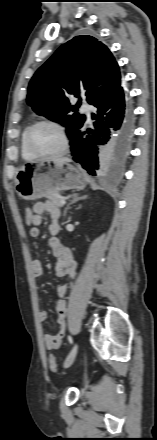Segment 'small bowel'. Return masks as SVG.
<instances>
[{"instance_id":"1","label":"small bowel","mask_w":157,"mask_h":440,"mask_svg":"<svg viewBox=\"0 0 157 440\" xmlns=\"http://www.w3.org/2000/svg\"><path fill=\"white\" fill-rule=\"evenodd\" d=\"M33 212L35 215L34 224L29 230V235L32 238H38L40 236V226L43 222V214L48 213L50 218L49 231L52 237L49 240L50 248L53 256L56 258V275L60 278H74L76 275V261L73 258L72 252L69 248L61 244L56 237L59 232V217L60 210L58 206L51 202H37L33 206ZM32 274L35 278L42 276L44 269L41 260L34 259L31 263ZM68 285L64 284L58 288L59 299L55 305V311L57 314V323L60 326V331L56 335L47 334L44 336V342L46 348L49 350L58 349L65 337V318L68 313L67 303L65 296L67 293ZM47 312L42 310L39 312V319L41 322L47 320Z\"/></svg>"}]
</instances>
